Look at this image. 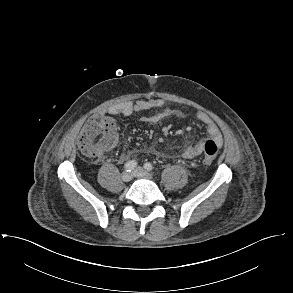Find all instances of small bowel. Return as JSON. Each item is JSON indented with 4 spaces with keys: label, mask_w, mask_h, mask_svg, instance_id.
Returning <instances> with one entry per match:
<instances>
[{
    "label": "small bowel",
    "mask_w": 293,
    "mask_h": 293,
    "mask_svg": "<svg viewBox=\"0 0 293 293\" xmlns=\"http://www.w3.org/2000/svg\"><path fill=\"white\" fill-rule=\"evenodd\" d=\"M151 109H156L157 113L144 119V122L148 124H156L175 113V110L165 107L162 103L156 100H137L114 104L107 109V113L115 116H130L134 112ZM179 113L182 114L183 112ZM197 119L205 126L208 138L187 146L182 151V156L186 159H191L200 155L204 151L205 144L208 140H214L219 146L223 144L221 132L210 116L200 113L197 115Z\"/></svg>",
    "instance_id": "1"
}]
</instances>
